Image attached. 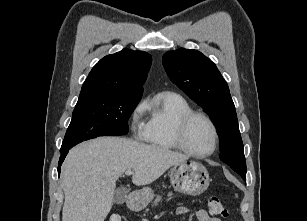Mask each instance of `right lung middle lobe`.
Listing matches in <instances>:
<instances>
[{"label": "right lung middle lobe", "instance_id": "obj_1", "mask_svg": "<svg viewBox=\"0 0 307 221\" xmlns=\"http://www.w3.org/2000/svg\"><path fill=\"white\" fill-rule=\"evenodd\" d=\"M140 99L141 95L120 94L77 102L60 152L98 136L127 134V121Z\"/></svg>", "mask_w": 307, "mask_h": 221}]
</instances>
